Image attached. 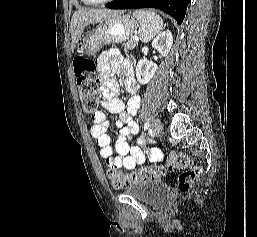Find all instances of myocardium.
Masks as SVG:
<instances>
[{
	"label": "myocardium",
	"mask_w": 257,
	"mask_h": 237,
	"mask_svg": "<svg viewBox=\"0 0 257 237\" xmlns=\"http://www.w3.org/2000/svg\"><path fill=\"white\" fill-rule=\"evenodd\" d=\"M87 1L93 5H103V4H107V3H110L115 0H87Z\"/></svg>",
	"instance_id": "myocardium-1"
}]
</instances>
